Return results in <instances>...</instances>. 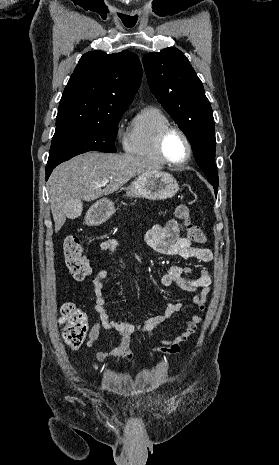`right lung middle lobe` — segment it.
Here are the masks:
<instances>
[{
  "label": "right lung middle lobe",
  "mask_w": 279,
  "mask_h": 465,
  "mask_svg": "<svg viewBox=\"0 0 279 465\" xmlns=\"http://www.w3.org/2000/svg\"><path fill=\"white\" fill-rule=\"evenodd\" d=\"M125 111L126 109L112 110L100 121L74 122L56 126L47 166H57L88 151L115 153L114 139L117 125Z\"/></svg>",
  "instance_id": "obj_1"
}]
</instances>
